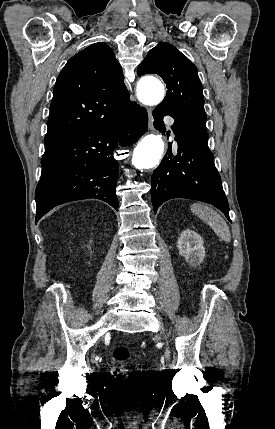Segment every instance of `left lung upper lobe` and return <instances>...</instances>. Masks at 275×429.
Instances as JSON below:
<instances>
[{"label":"left lung upper lobe","mask_w":275,"mask_h":429,"mask_svg":"<svg viewBox=\"0 0 275 429\" xmlns=\"http://www.w3.org/2000/svg\"><path fill=\"white\" fill-rule=\"evenodd\" d=\"M147 73L158 74L167 85V95L158 106L207 134L202 85L196 66L173 45L160 42L137 69L138 76Z\"/></svg>","instance_id":"1"}]
</instances>
